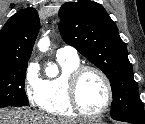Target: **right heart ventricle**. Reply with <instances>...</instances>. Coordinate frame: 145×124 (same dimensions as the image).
Here are the masks:
<instances>
[{
  "label": "right heart ventricle",
  "mask_w": 145,
  "mask_h": 124,
  "mask_svg": "<svg viewBox=\"0 0 145 124\" xmlns=\"http://www.w3.org/2000/svg\"><path fill=\"white\" fill-rule=\"evenodd\" d=\"M61 73L56 77L47 78L42 83L37 105L46 113L60 118L75 117L77 113L71 106L68 95V77L80 66L79 59L59 58Z\"/></svg>",
  "instance_id": "1"
}]
</instances>
